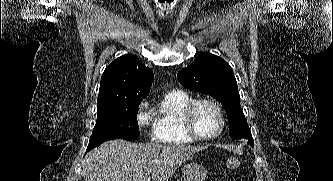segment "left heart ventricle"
Instances as JSON below:
<instances>
[{
	"mask_svg": "<svg viewBox=\"0 0 333 181\" xmlns=\"http://www.w3.org/2000/svg\"><path fill=\"white\" fill-rule=\"evenodd\" d=\"M194 125L200 135L212 136L220 126L218 113L212 106L200 104L194 115Z\"/></svg>",
	"mask_w": 333,
	"mask_h": 181,
	"instance_id": "obj_1",
	"label": "left heart ventricle"
}]
</instances>
